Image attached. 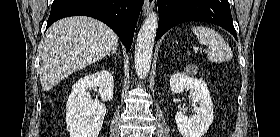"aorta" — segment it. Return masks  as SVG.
<instances>
[{"label": "aorta", "instance_id": "1", "mask_svg": "<svg viewBox=\"0 0 280 137\" xmlns=\"http://www.w3.org/2000/svg\"><path fill=\"white\" fill-rule=\"evenodd\" d=\"M158 27V16L150 13L144 20L135 44V69L140 78H145L150 70L154 40Z\"/></svg>", "mask_w": 280, "mask_h": 137}]
</instances>
